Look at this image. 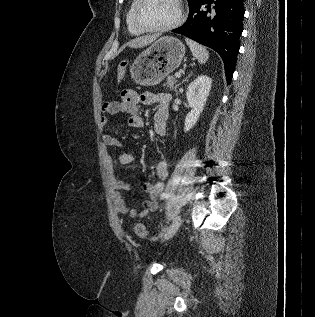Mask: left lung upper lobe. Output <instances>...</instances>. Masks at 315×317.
I'll return each mask as SVG.
<instances>
[{
	"label": "left lung upper lobe",
	"mask_w": 315,
	"mask_h": 317,
	"mask_svg": "<svg viewBox=\"0 0 315 317\" xmlns=\"http://www.w3.org/2000/svg\"><path fill=\"white\" fill-rule=\"evenodd\" d=\"M193 0H188V4H190Z\"/></svg>",
	"instance_id": "5c2ea615"
}]
</instances>
